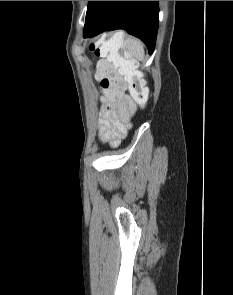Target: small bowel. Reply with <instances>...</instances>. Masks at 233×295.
I'll return each instance as SVG.
<instances>
[{
  "label": "small bowel",
  "mask_w": 233,
  "mask_h": 295,
  "mask_svg": "<svg viewBox=\"0 0 233 295\" xmlns=\"http://www.w3.org/2000/svg\"><path fill=\"white\" fill-rule=\"evenodd\" d=\"M133 110L134 103L124 90L119 93H105L99 118L101 140L117 145L130 127Z\"/></svg>",
  "instance_id": "c3829d8e"
}]
</instances>
